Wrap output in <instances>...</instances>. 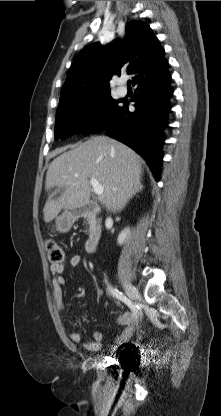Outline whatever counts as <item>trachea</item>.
<instances>
[{
	"instance_id": "1",
	"label": "trachea",
	"mask_w": 221,
	"mask_h": 416,
	"mask_svg": "<svg viewBox=\"0 0 221 416\" xmlns=\"http://www.w3.org/2000/svg\"><path fill=\"white\" fill-rule=\"evenodd\" d=\"M130 85H131V81L129 80V81L127 82V86H128V87H130Z\"/></svg>"
}]
</instances>
